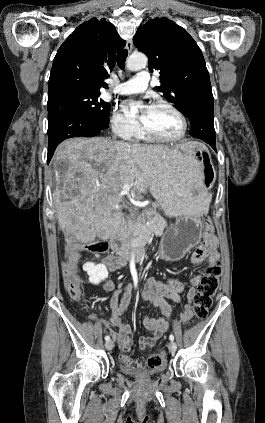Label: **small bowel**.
Masks as SVG:
<instances>
[{"instance_id":"obj_1","label":"small bowel","mask_w":265,"mask_h":423,"mask_svg":"<svg viewBox=\"0 0 265 423\" xmlns=\"http://www.w3.org/2000/svg\"><path fill=\"white\" fill-rule=\"evenodd\" d=\"M219 258L217 252V239L211 236L205 240L192 254L191 261L194 265H200L204 260L208 264L214 262ZM107 271L111 272L119 268L123 263L115 255H108L103 261ZM203 273L194 276L191 281V287L187 291V302L180 314L179 320L181 322L189 321L193 316V301L197 294V287L201 283ZM103 288L107 293H112L110 298L111 314L108 321V327L119 344L121 351L120 360L125 365L132 367H142L143 361L141 359L133 360L129 352L133 344L132 329L129 324L123 320V315L130 302V293L132 286L130 284L124 285L114 289L112 280H105ZM185 290L184 284L175 279L157 280L150 279L147 286L141 292L140 298L143 302L150 304L154 309L158 310L160 315L156 317H145L144 327L148 331V335L141 337L139 344L144 352H149L157 340L167 332L168 321L166 317L172 315L171 307L165 302L164 298L170 299L176 303L182 302V294ZM123 294L121 302H118V296Z\"/></svg>"}]
</instances>
